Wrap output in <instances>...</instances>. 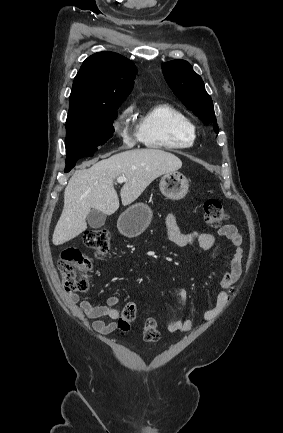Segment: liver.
Here are the masks:
<instances>
[{"instance_id":"obj_1","label":"liver","mask_w":283,"mask_h":433,"mask_svg":"<svg viewBox=\"0 0 283 433\" xmlns=\"http://www.w3.org/2000/svg\"><path fill=\"white\" fill-rule=\"evenodd\" d=\"M181 166L178 156L159 148H133L99 162H83L64 190V206L53 233V245H63L86 231V217L91 208L105 214L116 212L119 198L113 182L118 176L127 178L120 190L122 204L126 206L157 176L176 172Z\"/></svg>"}]
</instances>
